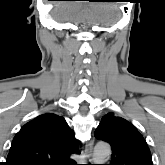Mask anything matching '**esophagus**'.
<instances>
[{
  "label": "esophagus",
  "mask_w": 165,
  "mask_h": 165,
  "mask_svg": "<svg viewBox=\"0 0 165 165\" xmlns=\"http://www.w3.org/2000/svg\"><path fill=\"white\" fill-rule=\"evenodd\" d=\"M93 145H94V141L90 140L86 146H85V151H84V157L85 160H91L92 157V152H93Z\"/></svg>",
  "instance_id": "esophagus-1"
}]
</instances>
